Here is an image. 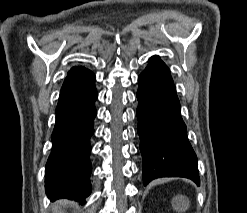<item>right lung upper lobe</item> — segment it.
Masks as SVG:
<instances>
[{"label":"right lung upper lobe","instance_id":"1","mask_svg":"<svg viewBox=\"0 0 247 213\" xmlns=\"http://www.w3.org/2000/svg\"><path fill=\"white\" fill-rule=\"evenodd\" d=\"M76 68H79V67H73L72 69H76ZM72 69H71V70H72Z\"/></svg>","mask_w":247,"mask_h":213}]
</instances>
